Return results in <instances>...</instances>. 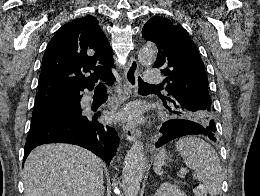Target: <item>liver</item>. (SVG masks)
I'll use <instances>...</instances> for the list:
<instances>
[{"instance_id": "6515ba94", "label": "liver", "mask_w": 260, "mask_h": 196, "mask_svg": "<svg viewBox=\"0 0 260 196\" xmlns=\"http://www.w3.org/2000/svg\"><path fill=\"white\" fill-rule=\"evenodd\" d=\"M103 178L102 160L89 150L44 144L24 164V196H102Z\"/></svg>"}]
</instances>
